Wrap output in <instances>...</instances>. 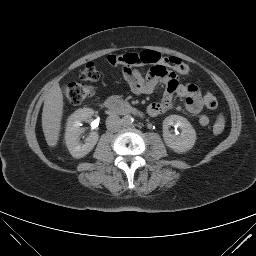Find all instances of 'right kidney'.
<instances>
[{
    "mask_svg": "<svg viewBox=\"0 0 256 256\" xmlns=\"http://www.w3.org/2000/svg\"><path fill=\"white\" fill-rule=\"evenodd\" d=\"M94 114V110L90 108H81L76 110L67 121L65 132V143L71 153L76 158H82L87 155L96 145L99 135L97 132H91L85 143L79 142V136L84 132L82 128V122L91 118Z\"/></svg>",
    "mask_w": 256,
    "mask_h": 256,
    "instance_id": "ca27d5eb",
    "label": "right kidney"
}]
</instances>
